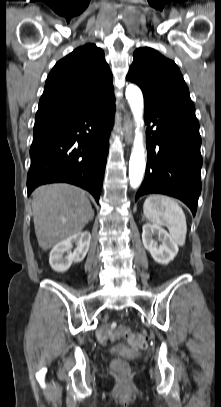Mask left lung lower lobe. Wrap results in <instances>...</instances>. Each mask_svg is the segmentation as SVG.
<instances>
[{
  "label": "left lung lower lobe",
  "mask_w": 221,
  "mask_h": 407,
  "mask_svg": "<svg viewBox=\"0 0 221 407\" xmlns=\"http://www.w3.org/2000/svg\"><path fill=\"white\" fill-rule=\"evenodd\" d=\"M144 120L149 126L147 166L135 200L150 193L166 194L182 200L195 216L201 192L202 156L194 104L185 100L145 103Z\"/></svg>",
  "instance_id": "left-lung-lower-lobe-1"
}]
</instances>
